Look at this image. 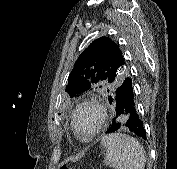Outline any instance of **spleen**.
<instances>
[{
    "mask_svg": "<svg viewBox=\"0 0 177 169\" xmlns=\"http://www.w3.org/2000/svg\"><path fill=\"white\" fill-rule=\"evenodd\" d=\"M106 150L105 165L115 169H144L146 158L142 145L134 137L112 133L101 140Z\"/></svg>",
    "mask_w": 177,
    "mask_h": 169,
    "instance_id": "3e777b00",
    "label": "spleen"
}]
</instances>
